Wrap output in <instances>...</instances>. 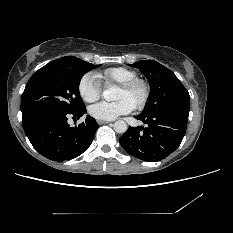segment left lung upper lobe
<instances>
[{
  "instance_id": "obj_1",
  "label": "left lung upper lobe",
  "mask_w": 233,
  "mask_h": 233,
  "mask_svg": "<svg viewBox=\"0 0 233 233\" xmlns=\"http://www.w3.org/2000/svg\"><path fill=\"white\" fill-rule=\"evenodd\" d=\"M128 65L138 68L151 86V101L143 115L189 111L190 95L171 70L153 60Z\"/></svg>"
}]
</instances>
